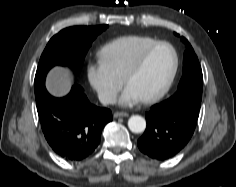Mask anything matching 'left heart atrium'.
<instances>
[{
    "instance_id": "left-heart-atrium-1",
    "label": "left heart atrium",
    "mask_w": 236,
    "mask_h": 187,
    "mask_svg": "<svg viewBox=\"0 0 236 187\" xmlns=\"http://www.w3.org/2000/svg\"><path fill=\"white\" fill-rule=\"evenodd\" d=\"M139 100V97L136 95V93L130 89L129 87H126L125 91L123 92L120 103L123 105H131Z\"/></svg>"
}]
</instances>
